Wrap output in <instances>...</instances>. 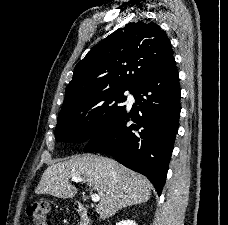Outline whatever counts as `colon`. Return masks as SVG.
Instances as JSON below:
<instances>
[{"instance_id":"colon-1","label":"colon","mask_w":228,"mask_h":225,"mask_svg":"<svg viewBox=\"0 0 228 225\" xmlns=\"http://www.w3.org/2000/svg\"><path fill=\"white\" fill-rule=\"evenodd\" d=\"M26 213L31 217L35 225H56L49 219L50 205L47 201H32L26 208Z\"/></svg>"}]
</instances>
